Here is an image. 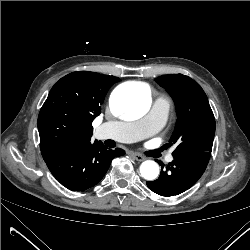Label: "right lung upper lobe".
Segmentation results:
<instances>
[{
    "mask_svg": "<svg viewBox=\"0 0 250 250\" xmlns=\"http://www.w3.org/2000/svg\"><path fill=\"white\" fill-rule=\"evenodd\" d=\"M119 80L88 71L61 78L52 87L38 117L42 156L90 142L92 121L100 114L108 89Z\"/></svg>",
    "mask_w": 250,
    "mask_h": 250,
    "instance_id": "right-lung-upper-lobe-1",
    "label": "right lung upper lobe"
}]
</instances>
